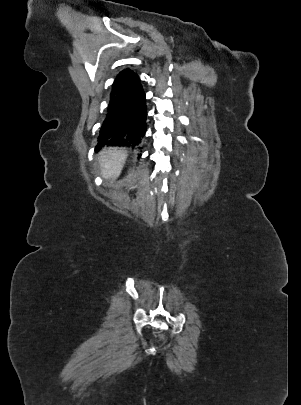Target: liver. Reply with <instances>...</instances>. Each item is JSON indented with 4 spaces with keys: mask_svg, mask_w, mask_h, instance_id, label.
I'll return each instance as SVG.
<instances>
[{
    "mask_svg": "<svg viewBox=\"0 0 301 405\" xmlns=\"http://www.w3.org/2000/svg\"><path fill=\"white\" fill-rule=\"evenodd\" d=\"M126 158L127 153L122 148L104 149L99 157L102 176L106 180H115L118 178L125 164Z\"/></svg>",
    "mask_w": 301,
    "mask_h": 405,
    "instance_id": "obj_1",
    "label": "liver"
}]
</instances>
